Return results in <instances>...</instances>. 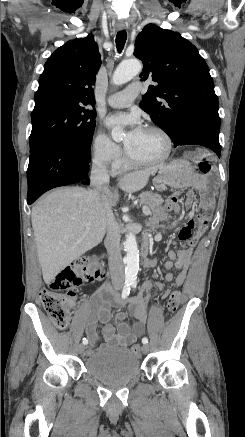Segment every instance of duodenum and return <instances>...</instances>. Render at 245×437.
I'll return each instance as SVG.
<instances>
[{"label": "duodenum", "mask_w": 245, "mask_h": 437, "mask_svg": "<svg viewBox=\"0 0 245 437\" xmlns=\"http://www.w3.org/2000/svg\"><path fill=\"white\" fill-rule=\"evenodd\" d=\"M149 254V244H148V240H146L141 248V255L143 258V266L145 268L150 267L152 265V260L151 258L148 257Z\"/></svg>", "instance_id": "duodenum-1"}]
</instances>
